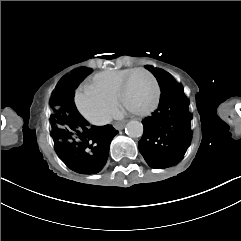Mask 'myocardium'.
I'll use <instances>...</instances> for the list:
<instances>
[{"instance_id": "1", "label": "myocardium", "mask_w": 241, "mask_h": 241, "mask_svg": "<svg viewBox=\"0 0 241 241\" xmlns=\"http://www.w3.org/2000/svg\"><path fill=\"white\" fill-rule=\"evenodd\" d=\"M143 72L147 74V75H144V80H149V83H151L152 89L154 90V96H152V101H150V104H148V106L143 108V113L146 114V113H149L151 109H153V107L155 106V102H157L159 98V87L156 84L155 78L151 75V73L148 70L144 68H138L137 72L134 70V72L128 73V75L124 77V79L121 81V84L118 86L119 87L118 96H119V102H124L123 93L125 92V84L127 82H130V79H132L134 75H137V74L141 75Z\"/></svg>"}]
</instances>
